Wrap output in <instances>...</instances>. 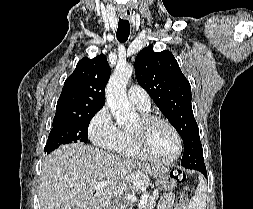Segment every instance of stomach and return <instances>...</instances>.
Instances as JSON below:
<instances>
[{
	"label": "stomach",
	"mask_w": 253,
	"mask_h": 209,
	"mask_svg": "<svg viewBox=\"0 0 253 209\" xmlns=\"http://www.w3.org/2000/svg\"><path fill=\"white\" fill-rule=\"evenodd\" d=\"M168 182V176L167 174H160L159 179L157 180V186L159 192H164L167 188V183ZM142 186H149V181H142ZM124 188H120V193L123 194V196H128V190L125 187H132V182H124ZM127 207H130V202L127 201V199H122L121 202H118V209H127Z\"/></svg>",
	"instance_id": "0dacf381"
}]
</instances>
